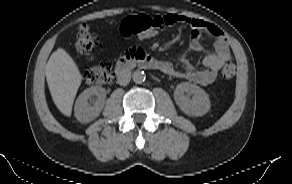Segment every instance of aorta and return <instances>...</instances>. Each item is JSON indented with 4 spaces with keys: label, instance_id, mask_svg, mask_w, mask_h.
Wrapping results in <instances>:
<instances>
[{
    "label": "aorta",
    "instance_id": "762f6f07",
    "mask_svg": "<svg viewBox=\"0 0 292 184\" xmlns=\"http://www.w3.org/2000/svg\"><path fill=\"white\" fill-rule=\"evenodd\" d=\"M132 79L135 83L137 84H141L145 81L146 79V75L143 71L141 70H136L134 71V73L132 74Z\"/></svg>",
    "mask_w": 292,
    "mask_h": 184
}]
</instances>
